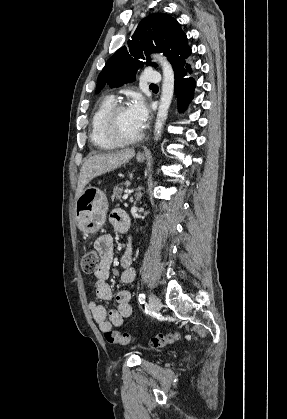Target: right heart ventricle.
I'll list each match as a JSON object with an SVG mask.
<instances>
[{
  "instance_id": "right-heart-ventricle-1",
  "label": "right heart ventricle",
  "mask_w": 287,
  "mask_h": 419,
  "mask_svg": "<svg viewBox=\"0 0 287 419\" xmlns=\"http://www.w3.org/2000/svg\"><path fill=\"white\" fill-rule=\"evenodd\" d=\"M115 105L112 96H106L94 110L89 126V138L91 143L101 150L115 149L119 145L110 140L103 130V119L106 113Z\"/></svg>"
}]
</instances>
